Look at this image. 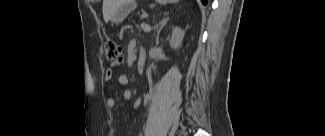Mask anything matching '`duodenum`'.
<instances>
[{"mask_svg":"<svg viewBox=\"0 0 325 136\" xmlns=\"http://www.w3.org/2000/svg\"><path fill=\"white\" fill-rule=\"evenodd\" d=\"M147 56H148V53H147V50L145 48L139 49L138 60H137V70L139 72L145 71Z\"/></svg>","mask_w":325,"mask_h":136,"instance_id":"obj_1","label":"duodenum"}]
</instances>
